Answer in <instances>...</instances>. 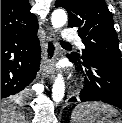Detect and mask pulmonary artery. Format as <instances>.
<instances>
[{
  "label": "pulmonary artery",
  "instance_id": "1",
  "mask_svg": "<svg viewBox=\"0 0 122 123\" xmlns=\"http://www.w3.org/2000/svg\"><path fill=\"white\" fill-rule=\"evenodd\" d=\"M63 39L68 43H78L80 47H82V43L80 42L78 35L71 29H65L63 31Z\"/></svg>",
  "mask_w": 122,
  "mask_h": 123
}]
</instances>
